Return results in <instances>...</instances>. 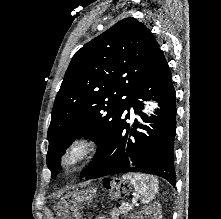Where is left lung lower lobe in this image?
<instances>
[{"label":"left lung lower lobe","instance_id":"obj_1","mask_svg":"<svg viewBox=\"0 0 221 219\" xmlns=\"http://www.w3.org/2000/svg\"><path fill=\"white\" fill-rule=\"evenodd\" d=\"M152 95L159 108L155 110V115L147 118L142 113L143 103L138 99L148 101ZM175 100L170 69L159 48L147 74L114 126L102 153L84 177L95 179L117 173H147L160 176L175 186ZM131 106L147 125L139 124L137 120L132 126L126 122L130 118Z\"/></svg>","mask_w":221,"mask_h":219}]
</instances>
